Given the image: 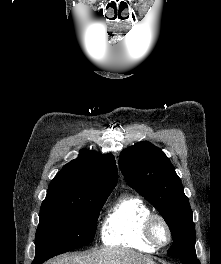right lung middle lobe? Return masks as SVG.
Wrapping results in <instances>:
<instances>
[{"mask_svg": "<svg viewBox=\"0 0 221 264\" xmlns=\"http://www.w3.org/2000/svg\"><path fill=\"white\" fill-rule=\"evenodd\" d=\"M108 196L94 195L75 201L45 199L36 231L35 260L45 261L91 243L100 209Z\"/></svg>", "mask_w": 221, "mask_h": 264, "instance_id": "obj_1", "label": "right lung middle lobe"}]
</instances>
